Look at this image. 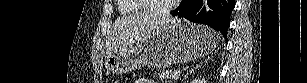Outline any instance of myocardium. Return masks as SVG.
<instances>
[{"mask_svg": "<svg viewBox=\"0 0 307 83\" xmlns=\"http://www.w3.org/2000/svg\"><path fill=\"white\" fill-rule=\"evenodd\" d=\"M140 6L143 7L144 10H146L147 12H150L154 15H166L168 13H170L174 7L179 3L180 0H172L170 3H168L167 5L157 9V10H152L149 8V6L146 3V0H135Z\"/></svg>", "mask_w": 307, "mask_h": 83, "instance_id": "1", "label": "myocardium"}]
</instances>
